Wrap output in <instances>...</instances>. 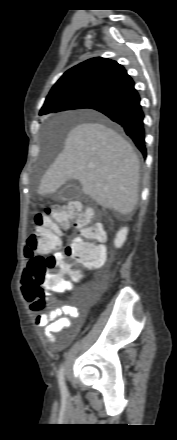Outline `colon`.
<instances>
[{"label": "colon", "mask_w": 177, "mask_h": 440, "mask_svg": "<svg viewBox=\"0 0 177 440\" xmlns=\"http://www.w3.org/2000/svg\"><path fill=\"white\" fill-rule=\"evenodd\" d=\"M93 213L82 211L79 202L46 208L34 219V227L27 238L25 256L28 259L22 280L25 298L34 302V309L41 307L44 290L60 291L71 279L80 281L81 276L73 270L74 264L98 268L104 259V249L98 244L104 235L97 224L92 223ZM74 228L79 236L64 252H56L60 246L62 230ZM43 254H47L44 256Z\"/></svg>", "instance_id": "1"}]
</instances>
